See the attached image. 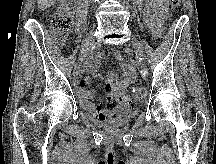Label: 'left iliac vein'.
<instances>
[{
    "instance_id": "1",
    "label": "left iliac vein",
    "mask_w": 216,
    "mask_h": 164,
    "mask_svg": "<svg viewBox=\"0 0 216 164\" xmlns=\"http://www.w3.org/2000/svg\"><path fill=\"white\" fill-rule=\"evenodd\" d=\"M132 45L134 47L135 52L137 53V57L139 59V67L140 69H145V63L143 61L144 59V51L141 43L135 38H132Z\"/></svg>"
}]
</instances>
